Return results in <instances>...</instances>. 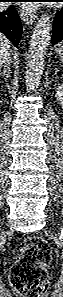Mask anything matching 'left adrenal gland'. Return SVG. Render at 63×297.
Returning <instances> with one entry per match:
<instances>
[{"label":"left adrenal gland","mask_w":63,"mask_h":297,"mask_svg":"<svg viewBox=\"0 0 63 297\" xmlns=\"http://www.w3.org/2000/svg\"><path fill=\"white\" fill-rule=\"evenodd\" d=\"M59 71H60V67H58V68L56 69V71H55V75H57Z\"/></svg>","instance_id":"obj_1"}]
</instances>
